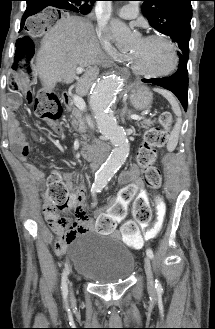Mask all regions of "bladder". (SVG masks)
<instances>
[{
    "mask_svg": "<svg viewBox=\"0 0 215 329\" xmlns=\"http://www.w3.org/2000/svg\"><path fill=\"white\" fill-rule=\"evenodd\" d=\"M68 249L77 273L93 283H118L134 271L133 253L116 236L83 232L69 243Z\"/></svg>",
    "mask_w": 215,
    "mask_h": 329,
    "instance_id": "31cf9c89",
    "label": "bladder"
}]
</instances>
